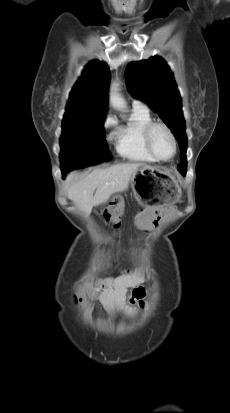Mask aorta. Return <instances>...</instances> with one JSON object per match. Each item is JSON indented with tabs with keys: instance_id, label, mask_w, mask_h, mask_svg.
<instances>
[{
	"instance_id": "762f6f07",
	"label": "aorta",
	"mask_w": 230,
	"mask_h": 413,
	"mask_svg": "<svg viewBox=\"0 0 230 413\" xmlns=\"http://www.w3.org/2000/svg\"><path fill=\"white\" fill-rule=\"evenodd\" d=\"M110 102L111 105L118 110H124L126 108V103L124 99L118 93V85L114 84L110 92Z\"/></svg>"
}]
</instances>
